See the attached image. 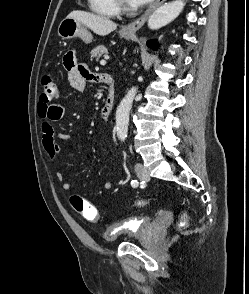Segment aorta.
Masks as SVG:
<instances>
[{
    "instance_id": "obj_1",
    "label": "aorta",
    "mask_w": 249,
    "mask_h": 294,
    "mask_svg": "<svg viewBox=\"0 0 249 294\" xmlns=\"http://www.w3.org/2000/svg\"><path fill=\"white\" fill-rule=\"evenodd\" d=\"M184 6V0H175L173 2L163 4L149 17L148 27L154 30L167 25L179 16ZM136 94L137 88L132 87L122 99L116 111L117 137L122 142L127 138L130 110Z\"/></svg>"
}]
</instances>
